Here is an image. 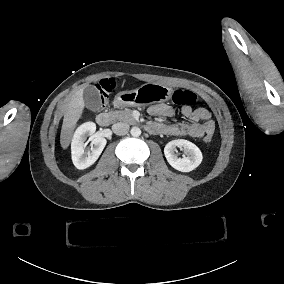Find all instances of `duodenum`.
<instances>
[{"label":"duodenum","mask_w":284,"mask_h":284,"mask_svg":"<svg viewBox=\"0 0 284 284\" xmlns=\"http://www.w3.org/2000/svg\"><path fill=\"white\" fill-rule=\"evenodd\" d=\"M116 105H119L121 103L120 99H116L114 101ZM97 124L100 126H108L111 122L112 116L107 112H100L95 117Z\"/></svg>","instance_id":"obj_1"}]
</instances>
